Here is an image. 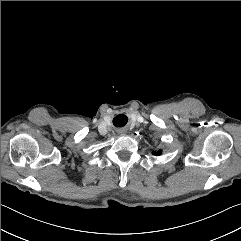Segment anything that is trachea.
Masks as SVG:
<instances>
[{
  "mask_svg": "<svg viewBox=\"0 0 241 241\" xmlns=\"http://www.w3.org/2000/svg\"><path fill=\"white\" fill-rule=\"evenodd\" d=\"M127 117L125 115H118L113 119V123L115 126H119L120 124H126Z\"/></svg>",
  "mask_w": 241,
  "mask_h": 241,
  "instance_id": "1",
  "label": "trachea"
}]
</instances>
